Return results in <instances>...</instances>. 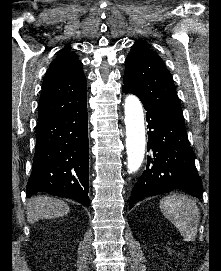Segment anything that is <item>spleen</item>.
I'll return each instance as SVG.
<instances>
[{"instance_id":"spleen-1","label":"spleen","mask_w":221,"mask_h":271,"mask_svg":"<svg viewBox=\"0 0 221 271\" xmlns=\"http://www.w3.org/2000/svg\"><path fill=\"white\" fill-rule=\"evenodd\" d=\"M160 209L178 227L184 241H195L200 211L194 199L187 195H167L160 199Z\"/></svg>"}]
</instances>
